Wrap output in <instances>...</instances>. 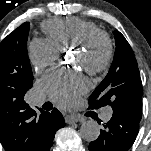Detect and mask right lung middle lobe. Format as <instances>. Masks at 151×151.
I'll return each mask as SVG.
<instances>
[{
    "mask_svg": "<svg viewBox=\"0 0 151 151\" xmlns=\"http://www.w3.org/2000/svg\"><path fill=\"white\" fill-rule=\"evenodd\" d=\"M30 24L23 23L0 44V96L24 97L32 87L33 74L26 42Z\"/></svg>",
    "mask_w": 151,
    "mask_h": 151,
    "instance_id": "obj_1",
    "label": "right lung middle lobe"
}]
</instances>
